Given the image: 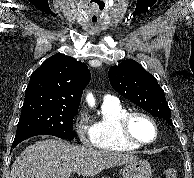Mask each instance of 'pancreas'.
Listing matches in <instances>:
<instances>
[{
    "instance_id": "1",
    "label": "pancreas",
    "mask_w": 194,
    "mask_h": 178,
    "mask_svg": "<svg viewBox=\"0 0 194 178\" xmlns=\"http://www.w3.org/2000/svg\"><path fill=\"white\" fill-rule=\"evenodd\" d=\"M102 178H110V177H107V176H103Z\"/></svg>"
}]
</instances>
